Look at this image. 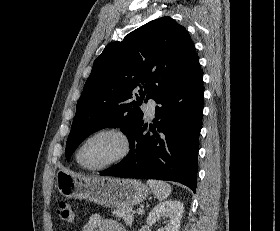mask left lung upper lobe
Returning <instances> with one entry per match:
<instances>
[{
	"label": "left lung upper lobe",
	"instance_id": "left-lung-upper-lobe-1",
	"mask_svg": "<svg viewBox=\"0 0 280 231\" xmlns=\"http://www.w3.org/2000/svg\"><path fill=\"white\" fill-rule=\"evenodd\" d=\"M200 68L186 29L162 17L112 42L94 61L77 102L65 155L67 161L93 132L119 127L128 138L143 122L138 107L146 97L154 100ZM139 91L135 101L133 91ZM137 96V94H135Z\"/></svg>",
	"mask_w": 280,
	"mask_h": 231
}]
</instances>
